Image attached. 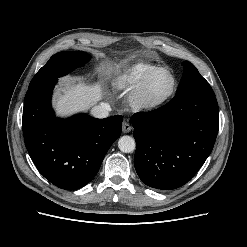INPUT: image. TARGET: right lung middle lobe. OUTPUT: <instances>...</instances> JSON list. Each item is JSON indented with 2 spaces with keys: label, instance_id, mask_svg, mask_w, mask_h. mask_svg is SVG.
Here are the masks:
<instances>
[{
  "label": "right lung middle lobe",
  "instance_id": "dd1d6c3e",
  "mask_svg": "<svg viewBox=\"0 0 247 247\" xmlns=\"http://www.w3.org/2000/svg\"><path fill=\"white\" fill-rule=\"evenodd\" d=\"M90 59L89 54L81 51L56 53L33 77L29 87L64 76L75 68L84 65Z\"/></svg>",
  "mask_w": 247,
  "mask_h": 247
}]
</instances>
